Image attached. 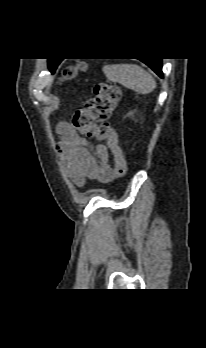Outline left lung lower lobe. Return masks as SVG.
I'll use <instances>...</instances> for the list:
<instances>
[{
    "instance_id": "1",
    "label": "left lung lower lobe",
    "mask_w": 206,
    "mask_h": 348,
    "mask_svg": "<svg viewBox=\"0 0 206 348\" xmlns=\"http://www.w3.org/2000/svg\"><path fill=\"white\" fill-rule=\"evenodd\" d=\"M141 61L147 64L157 75L163 77L161 59H145Z\"/></svg>"
}]
</instances>
